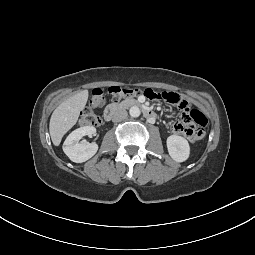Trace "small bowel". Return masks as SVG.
Instances as JSON below:
<instances>
[{"mask_svg":"<svg viewBox=\"0 0 255 255\" xmlns=\"http://www.w3.org/2000/svg\"><path fill=\"white\" fill-rule=\"evenodd\" d=\"M172 94H174L175 96L177 95L176 93H173V92H171ZM181 98L180 99V102L178 103V104H176L180 109H181V111L183 112V110L185 109V108H187V107H189L190 105H189V103H185V104H181L182 103V98L183 97H181L180 95L178 96V98ZM185 101H187L186 99H184ZM183 124L182 123H180V122H174V123H172L171 124V129H172V131H174V132H178L179 133V130H180V127L182 126Z\"/></svg>","mask_w":255,"mask_h":255,"instance_id":"1","label":"small bowel"}]
</instances>
